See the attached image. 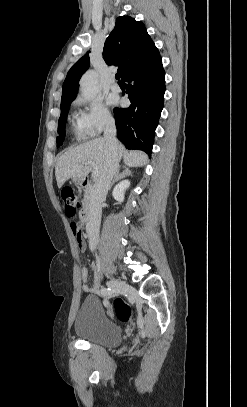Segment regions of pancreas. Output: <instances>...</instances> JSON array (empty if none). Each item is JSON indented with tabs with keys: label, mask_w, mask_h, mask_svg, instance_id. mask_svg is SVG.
I'll return each mask as SVG.
<instances>
[{
	"label": "pancreas",
	"mask_w": 247,
	"mask_h": 407,
	"mask_svg": "<svg viewBox=\"0 0 247 407\" xmlns=\"http://www.w3.org/2000/svg\"><path fill=\"white\" fill-rule=\"evenodd\" d=\"M91 198V189L87 188L84 194V202H89Z\"/></svg>",
	"instance_id": "cf45deb5"
}]
</instances>
